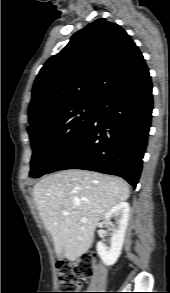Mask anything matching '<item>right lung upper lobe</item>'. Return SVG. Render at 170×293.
Wrapping results in <instances>:
<instances>
[{
	"instance_id": "obj_1",
	"label": "right lung upper lobe",
	"mask_w": 170,
	"mask_h": 293,
	"mask_svg": "<svg viewBox=\"0 0 170 293\" xmlns=\"http://www.w3.org/2000/svg\"><path fill=\"white\" fill-rule=\"evenodd\" d=\"M147 69L125 30L99 18L76 32L42 67L33 86L28 128L79 105H97Z\"/></svg>"
}]
</instances>
